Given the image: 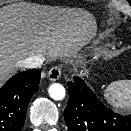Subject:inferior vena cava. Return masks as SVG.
Listing matches in <instances>:
<instances>
[{"instance_id":"inferior-vena-cava-1","label":"inferior vena cava","mask_w":131,"mask_h":131,"mask_svg":"<svg viewBox=\"0 0 131 131\" xmlns=\"http://www.w3.org/2000/svg\"><path fill=\"white\" fill-rule=\"evenodd\" d=\"M44 60L45 58L42 55H32L30 57L20 60L18 62V66L24 68H37L43 64Z\"/></svg>"}]
</instances>
